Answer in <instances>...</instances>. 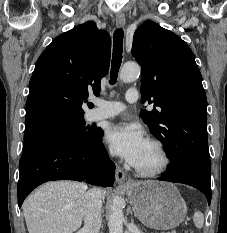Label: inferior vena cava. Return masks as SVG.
Here are the masks:
<instances>
[{
	"label": "inferior vena cava",
	"instance_id": "1",
	"mask_svg": "<svg viewBox=\"0 0 227 233\" xmlns=\"http://www.w3.org/2000/svg\"><path fill=\"white\" fill-rule=\"evenodd\" d=\"M102 200L101 189L92 188L88 190L84 209V230L86 233H99L102 223Z\"/></svg>",
	"mask_w": 227,
	"mask_h": 233
}]
</instances>
